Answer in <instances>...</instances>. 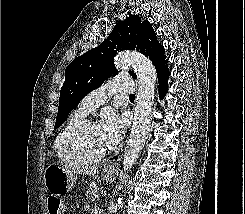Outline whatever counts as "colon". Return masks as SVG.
Instances as JSON below:
<instances>
[{
	"label": "colon",
	"instance_id": "obj_1",
	"mask_svg": "<svg viewBox=\"0 0 245 214\" xmlns=\"http://www.w3.org/2000/svg\"><path fill=\"white\" fill-rule=\"evenodd\" d=\"M50 214H63L61 202L56 198H51L48 201Z\"/></svg>",
	"mask_w": 245,
	"mask_h": 214
}]
</instances>
